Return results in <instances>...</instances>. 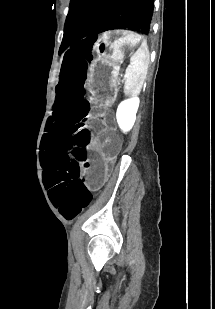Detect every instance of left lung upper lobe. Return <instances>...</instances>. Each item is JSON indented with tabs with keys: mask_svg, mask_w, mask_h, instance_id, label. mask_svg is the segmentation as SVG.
<instances>
[{
	"mask_svg": "<svg viewBox=\"0 0 215 309\" xmlns=\"http://www.w3.org/2000/svg\"><path fill=\"white\" fill-rule=\"evenodd\" d=\"M154 0H71L60 52L93 34L115 28L150 32Z\"/></svg>",
	"mask_w": 215,
	"mask_h": 309,
	"instance_id": "5c2ea615",
	"label": "left lung upper lobe"
}]
</instances>
